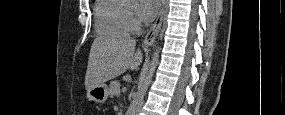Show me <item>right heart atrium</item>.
I'll use <instances>...</instances> for the list:
<instances>
[{
	"instance_id": "d8ad5b80",
	"label": "right heart atrium",
	"mask_w": 285,
	"mask_h": 115,
	"mask_svg": "<svg viewBox=\"0 0 285 115\" xmlns=\"http://www.w3.org/2000/svg\"><path fill=\"white\" fill-rule=\"evenodd\" d=\"M139 20L137 18L133 19V24H134V28H137L139 26Z\"/></svg>"
}]
</instances>
